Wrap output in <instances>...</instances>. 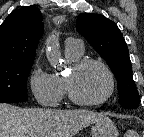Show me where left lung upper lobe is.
Instances as JSON below:
<instances>
[{
    "instance_id": "1",
    "label": "left lung upper lobe",
    "mask_w": 144,
    "mask_h": 137,
    "mask_svg": "<svg viewBox=\"0 0 144 137\" xmlns=\"http://www.w3.org/2000/svg\"><path fill=\"white\" fill-rule=\"evenodd\" d=\"M77 31L107 61L118 81L119 103L137 109L140 98L133 81L131 61L125 40L114 22L100 14H80Z\"/></svg>"
}]
</instances>
